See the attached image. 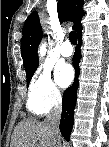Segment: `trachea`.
Segmentation results:
<instances>
[{"label": "trachea", "mask_w": 109, "mask_h": 147, "mask_svg": "<svg viewBox=\"0 0 109 147\" xmlns=\"http://www.w3.org/2000/svg\"><path fill=\"white\" fill-rule=\"evenodd\" d=\"M69 40L72 44L76 45L77 44V34L75 31H71L69 33Z\"/></svg>", "instance_id": "trachea-1"}]
</instances>
